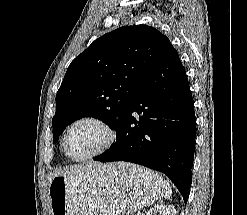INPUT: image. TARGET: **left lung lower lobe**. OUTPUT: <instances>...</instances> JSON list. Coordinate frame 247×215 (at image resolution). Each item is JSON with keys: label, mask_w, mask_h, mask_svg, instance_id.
Here are the masks:
<instances>
[{"label": "left lung lower lobe", "mask_w": 247, "mask_h": 215, "mask_svg": "<svg viewBox=\"0 0 247 215\" xmlns=\"http://www.w3.org/2000/svg\"><path fill=\"white\" fill-rule=\"evenodd\" d=\"M195 137L189 83L178 53L170 44L138 87L116 130V142L94 160L127 161L160 171L175 184L186 203L192 182Z\"/></svg>", "instance_id": "obj_1"}]
</instances>
